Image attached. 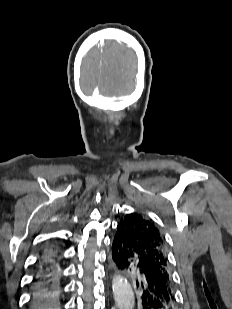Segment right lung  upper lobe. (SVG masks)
<instances>
[{
  "instance_id": "right-lung-upper-lobe-1",
  "label": "right lung upper lobe",
  "mask_w": 232,
  "mask_h": 309,
  "mask_svg": "<svg viewBox=\"0 0 232 309\" xmlns=\"http://www.w3.org/2000/svg\"><path fill=\"white\" fill-rule=\"evenodd\" d=\"M46 255H53L55 256L56 255V249L55 248H49L46 252H45Z\"/></svg>"
}]
</instances>
